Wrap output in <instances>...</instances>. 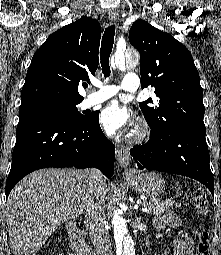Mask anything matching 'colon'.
Instances as JSON below:
<instances>
[{
    "label": "colon",
    "instance_id": "colon-1",
    "mask_svg": "<svg viewBox=\"0 0 221 255\" xmlns=\"http://www.w3.org/2000/svg\"><path fill=\"white\" fill-rule=\"evenodd\" d=\"M195 205L197 210L202 215L209 213V202L204 194H199L195 197ZM211 235L208 230H201L197 240V255H210Z\"/></svg>",
    "mask_w": 221,
    "mask_h": 255
}]
</instances>
